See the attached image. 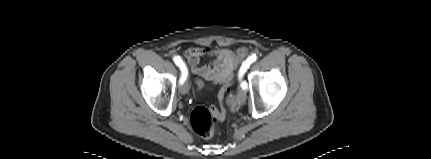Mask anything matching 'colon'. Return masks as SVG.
Here are the masks:
<instances>
[{"instance_id":"5ec220e1","label":"colon","mask_w":431,"mask_h":159,"mask_svg":"<svg viewBox=\"0 0 431 159\" xmlns=\"http://www.w3.org/2000/svg\"><path fill=\"white\" fill-rule=\"evenodd\" d=\"M236 82V78H232L231 81L226 82L220 92H219V100L220 106L225 105V101H223L225 94L228 90V86L232 85ZM192 84L196 86L198 91H201L204 88V81L201 78H193ZM226 107H222L220 111L215 108V105H211L210 107L198 106L196 107L190 116V124L193 131L201 138H210L214 135L218 122L221 120V124H225L226 119Z\"/></svg>"}]
</instances>
